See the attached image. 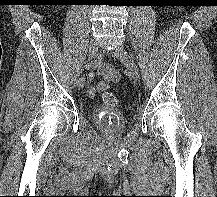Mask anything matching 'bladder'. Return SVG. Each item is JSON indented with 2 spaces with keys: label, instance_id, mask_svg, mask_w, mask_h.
<instances>
[{
  "label": "bladder",
  "instance_id": "bladder-1",
  "mask_svg": "<svg viewBox=\"0 0 217 197\" xmlns=\"http://www.w3.org/2000/svg\"><path fill=\"white\" fill-rule=\"evenodd\" d=\"M93 118L107 133H120L126 126L124 114L117 109L97 107L93 111Z\"/></svg>",
  "mask_w": 217,
  "mask_h": 197
}]
</instances>
